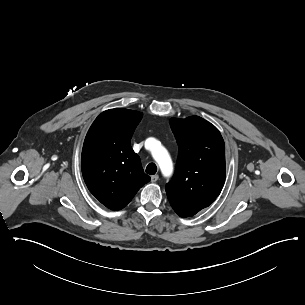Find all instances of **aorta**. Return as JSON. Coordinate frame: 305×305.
I'll return each instance as SVG.
<instances>
[{
  "label": "aorta",
  "mask_w": 305,
  "mask_h": 305,
  "mask_svg": "<svg viewBox=\"0 0 305 305\" xmlns=\"http://www.w3.org/2000/svg\"><path fill=\"white\" fill-rule=\"evenodd\" d=\"M146 143L150 147L152 156L158 163L162 174L165 177L170 176L173 172V164L167 150L155 139H148Z\"/></svg>",
  "instance_id": "obj_1"
}]
</instances>
